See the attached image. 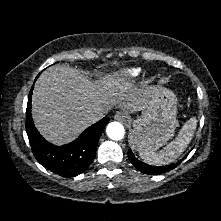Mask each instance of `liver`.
<instances>
[{
  "label": "liver",
  "instance_id": "6515ba94",
  "mask_svg": "<svg viewBox=\"0 0 221 221\" xmlns=\"http://www.w3.org/2000/svg\"><path fill=\"white\" fill-rule=\"evenodd\" d=\"M149 94L150 88L132 85L115 93L104 82H91L79 70L56 64L44 71L35 83L32 117L47 141L63 145L90 125L86 122L88 115L105 114L117 103L130 112L142 110Z\"/></svg>",
  "mask_w": 221,
  "mask_h": 221
}]
</instances>
